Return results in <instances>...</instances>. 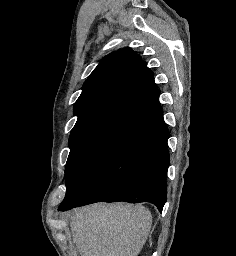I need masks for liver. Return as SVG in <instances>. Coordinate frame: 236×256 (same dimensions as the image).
<instances>
[{
    "label": "liver",
    "mask_w": 236,
    "mask_h": 256,
    "mask_svg": "<svg viewBox=\"0 0 236 256\" xmlns=\"http://www.w3.org/2000/svg\"><path fill=\"white\" fill-rule=\"evenodd\" d=\"M151 224L141 204H92L75 208L70 230L80 256H138Z\"/></svg>",
    "instance_id": "liver-1"
}]
</instances>
